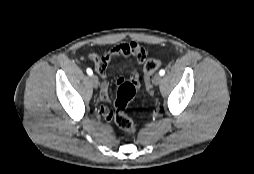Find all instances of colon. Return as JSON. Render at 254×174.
Listing matches in <instances>:
<instances>
[{"label":"colon","instance_id":"5ec220e1","mask_svg":"<svg viewBox=\"0 0 254 174\" xmlns=\"http://www.w3.org/2000/svg\"><path fill=\"white\" fill-rule=\"evenodd\" d=\"M122 45V44H121ZM130 47H136L137 44H127ZM161 62L156 59H148L144 63V79L148 89L151 87L153 74L160 68ZM137 85L131 82H124L119 85L117 97L114 103L113 121L123 131L133 134L137 126L134 121L125 113L128 103L135 97Z\"/></svg>","mask_w":254,"mask_h":174}]
</instances>
